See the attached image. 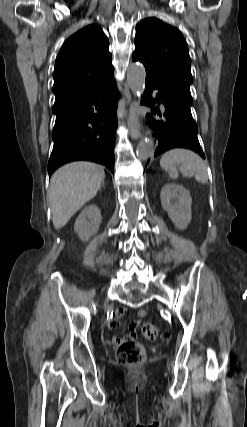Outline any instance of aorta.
Masks as SVG:
<instances>
[{
  "label": "aorta",
  "mask_w": 247,
  "mask_h": 427,
  "mask_svg": "<svg viewBox=\"0 0 247 427\" xmlns=\"http://www.w3.org/2000/svg\"><path fill=\"white\" fill-rule=\"evenodd\" d=\"M146 72L143 66L132 64L127 70V82L132 92L142 94L145 89ZM154 143L151 139H145L139 143L136 154L139 159H148L154 154Z\"/></svg>",
  "instance_id": "1"
}]
</instances>
